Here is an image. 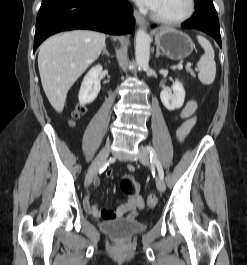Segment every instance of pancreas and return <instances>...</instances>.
<instances>
[{"instance_id":"1","label":"pancreas","mask_w":247,"mask_h":265,"mask_svg":"<svg viewBox=\"0 0 247 265\" xmlns=\"http://www.w3.org/2000/svg\"><path fill=\"white\" fill-rule=\"evenodd\" d=\"M186 71H187L188 73H190V75H191L192 77H195V73H194V71H193L190 67H186Z\"/></svg>"}]
</instances>
